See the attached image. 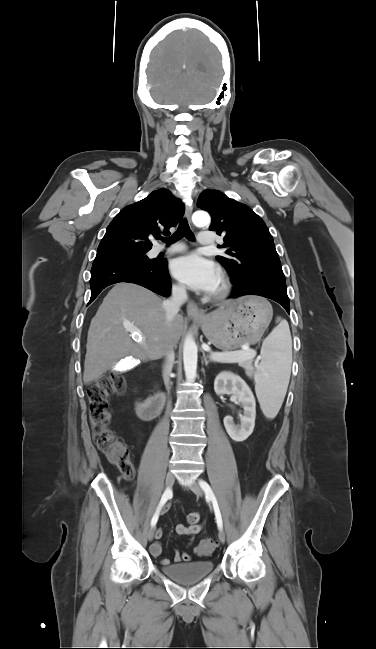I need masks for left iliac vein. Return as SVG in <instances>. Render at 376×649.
<instances>
[{
  "mask_svg": "<svg viewBox=\"0 0 376 649\" xmlns=\"http://www.w3.org/2000/svg\"><path fill=\"white\" fill-rule=\"evenodd\" d=\"M189 487L195 495L197 496L203 495L201 487L196 482L191 483ZM218 538L221 543L225 542V532L222 529H219Z\"/></svg>",
  "mask_w": 376,
  "mask_h": 649,
  "instance_id": "obj_1",
  "label": "left iliac vein"
}]
</instances>
